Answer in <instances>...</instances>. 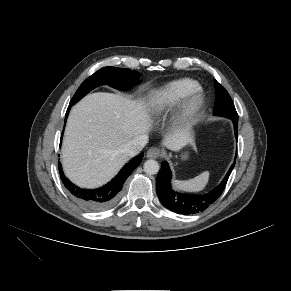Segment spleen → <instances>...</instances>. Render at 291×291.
<instances>
[{"label":"spleen","instance_id":"1","mask_svg":"<svg viewBox=\"0 0 291 291\" xmlns=\"http://www.w3.org/2000/svg\"><path fill=\"white\" fill-rule=\"evenodd\" d=\"M209 180V172H202L200 175L196 176L193 179L179 181L176 180L173 182L174 186L178 189L189 191V192H198L204 189Z\"/></svg>","mask_w":291,"mask_h":291}]
</instances>
